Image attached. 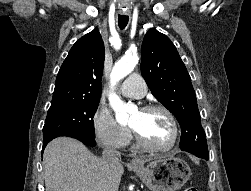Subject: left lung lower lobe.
I'll return each mask as SVG.
<instances>
[{
    "label": "left lung lower lobe",
    "instance_id": "1",
    "mask_svg": "<svg viewBox=\"0 0 251 191\" xmlns=\"http://www.w3.org/2000/svg\"><path fill=\"white\" fill-rule=\"evenodd\" d=\"M190 153H192V154H194L193 152H190ZM195 155V154H194ZM198 157V156H197ZM201 158V157H200ZM203 159H206V160H208L209 159V157L208 158H203Z\"/></svg>",
    "mask_w": 251,
    "mask_h": 191
}]
</instances>
